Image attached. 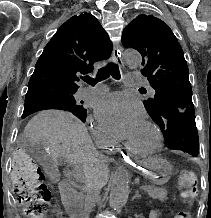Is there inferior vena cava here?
Listing matches in <instances>:
<instances>
[{"label":"inferior vena cava","mask_w":211,"mask_h":218,"mask_svg":"<svg viewBox=\"0 0 211 218\" xmlns=\"http://www.w3.org/2000/svg\"><path fill=\"white\" fill-rule=\"evenodd\" d=\"M85 182L83 190L85 196V212H91V208L94 206L95 200L99 198L100 190L105 186L103 180H97L91 172H84Z\"/></svg>","instance_id":"inferior-vena-cava-1"}]
</instances>
